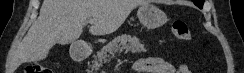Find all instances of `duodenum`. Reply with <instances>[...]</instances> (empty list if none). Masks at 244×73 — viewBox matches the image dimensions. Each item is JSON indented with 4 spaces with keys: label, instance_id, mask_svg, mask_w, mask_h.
Wrapping results in <instances>:
<instances>
[{
    "label": "duodenum",
    "instance_id": "duodenum-1",
    "mask_svg": "<svg viewBox=\"0 0 244 73\" xmlns=\"http://www.w3.org/2000/svg\"><path fill=\"white\" fill-rule=\"evenodd\" d=\"M91 52V48L86 43H76L71 48V56L75 62L87 59Z\"/></svg>",
    "mask_w": 244,
    "mask_h": 73
}]
</instances>
